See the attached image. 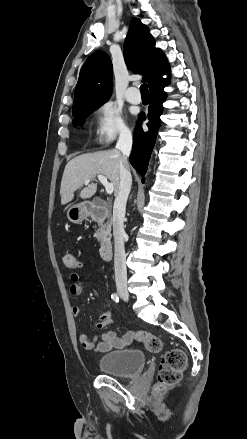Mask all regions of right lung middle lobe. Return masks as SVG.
<instances>
[{"label": "right lung middle lobe", "instance_id": "obj_1", "mask_svg": "<svg viewBox=\"0 0 247 439\" xmlns=\"http://www.w3.org/2000/svg\"><path fill=\"white\" fill-rule=\"evenodd\" d=\"M98 108L86 110V111H83V112H80V113L74 115V120H73L74 125H77V124L82 125L84 122V118L89 116V114H91L94 110H96Z\"/></svg>", "mask_w": 247, "mask_h": 439}]
</instances>
